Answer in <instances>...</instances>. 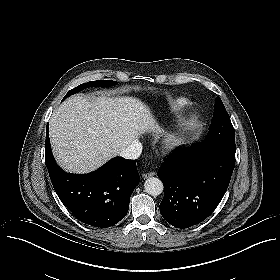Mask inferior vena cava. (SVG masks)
<instances>
[{"mask_svg": "<svg viewBox=\"0 0 280 280\" xmlns=\"http://www.w3.org/2000/svg\"><path fill=\"white\" fill-rule=\"evenodd\" d=\"M142 152V144L138 140H134L120 152V156L126 159H137Z\"/></svg>", "mask_w": 280, "mask_h": 280, "instance_id": "602c4592", "label": "inferior vena cava"}]
</instances>
